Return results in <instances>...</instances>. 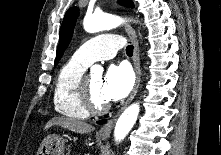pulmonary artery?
Masks as SVG:
<instances>
[{
	"label": "pulmonary artery",
	"mask_w": 221,
	"mask_h": 155,
	"mask_svg": "<svg viewBox=\"0 0 221 155\" xmlns=\"http://www.w3.org/2000/svg\"><path fill=\"white\" fill-rule=\"evenodd\" d=\"M120 36L114 34H101L95 36L81 45L73 57L87 65L97 60H108L116 55L122 47Z\"/></svg>",
	"instance_id": "1"
}]
</instances>
